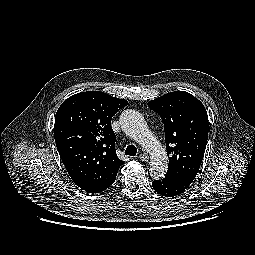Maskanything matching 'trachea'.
Wrapping results in <instances>:
<instances>
[{
  "mask_svg": "<svg viewBox=\"0 0 255 255\" xmlns=\"http://www.w3.org/2000/svg\"><path fill=\"white\" fill-rule=\"evenodd\" d=\"M137 148L134 145L127 146L125 154L129 156H136Z\"/></svg>",
  "mask_w": 255,
  "mask_h": 255,
  "instance_id": "3493384b",
  "label": "trachea"
}]
</instances>
